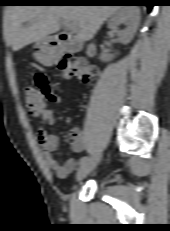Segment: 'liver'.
<instances>
[{
	"label": "liver",
	"instance_id": "obj_1",
	"mask_svg": "<svg viewBox=\"0 0 170 231\" xmlns=\"http://www.w3.org/2000/svg\"><path fill=\"white\" fill-rule=\"evenodd\" d=\"M122 7L115 5H37L8 9L5 25L7 43L13 51L45 39L72 23L80 41L91 40L104 21Z\"/></svg>",
	"mask_w": 170,
	"mask_h": 231
}]
</instances>
